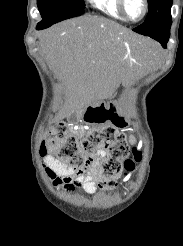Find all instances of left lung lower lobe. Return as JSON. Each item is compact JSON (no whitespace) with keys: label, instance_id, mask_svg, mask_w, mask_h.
<instances>
[{"label":"left lung lower lobe","instance_id":"1","mask_svg":"<svg viewBox=\"0 0 183 246\" xmlns=\"http://www.w3.org/2000/svg\"><path fill=\"white\" fill-rule=\"evenodd\" d=\"M149 37L157 40L158 42L161 43L163 48H166L167 42H168L169 37H170V30L169 31H164V32H161V33H158V34L149 35Z\"/></svg>","mask_w":183,"mask_h":246}]
</instances>
